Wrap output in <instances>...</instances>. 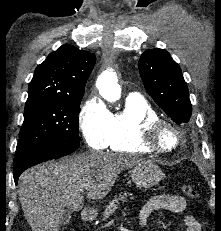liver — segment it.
<instances>
[{
  "label": "liver",
  "instance_id": "1",
  "mask_svg": "<svg viewBox=\"0 0 221 231\" xmlns=\"http://www.w3.org/2000/svg\"><path fill=\"white\" fill-rule=\"evenodd\" d=\"M133 156L92 152L46 162L25 171L18 181L19 201L32 231H59L64 208H83L82 186L89 200L104 198L118 174L141 162Z\"/></svg>",
  "mask_w": 221,
  "mask_h": 231
}]
</instances>
